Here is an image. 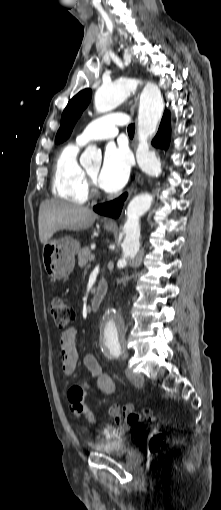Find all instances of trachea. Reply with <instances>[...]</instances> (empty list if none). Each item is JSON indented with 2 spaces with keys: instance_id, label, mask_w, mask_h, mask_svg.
<instances>
[{
  "instance_id": "1",
  "label": "trachea",
  "mask_w": 221,
  "mask_h": 510,
  "mask_svg": "<svg viewBox=\"0 0 221 510\" xmlns=\"http://www.w3.org/2000/svg\"><path fill=\"white\" fill-rule=\"evenodd\" d=\"M134 132H135V125H134V124H130V125L128 126V134H129L130 136H133V135H134Z\"/></svg>"
}]
</instances>
